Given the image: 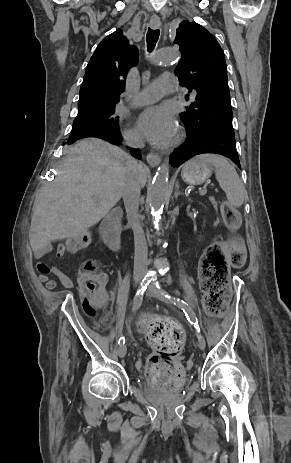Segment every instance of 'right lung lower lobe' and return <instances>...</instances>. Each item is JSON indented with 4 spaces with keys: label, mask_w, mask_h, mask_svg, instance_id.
Listing matches in <instances>:
<instances>
[{
    "label": "right lung lower lobe",
    "mask_w": 291,
    "mask_h": 463,
    "mask_svg": "<svg viewBox=\"0 0 291 463\" xmlns=\"http://www.w3.org/2000/svg\"><path fill=\"white\" fill-rule=\"evenodd\" d=\"M87 137L101 138V139L106 140V141H108V142H110L112 144H117V145L120 144L121 141H122L120 131L117 130V131H112V132H97V133H92V134H89V135H85V136H82V137H79V138H76V139H73V140L69 139L68 144H71V143L75 142L78 139L87 138ZM131 153L135 158L140 159V157H141L140 150L132 149Z\"/></svg>",
    "instance_id": "right-lung-lower-lobe-1"
}]
</instances>
